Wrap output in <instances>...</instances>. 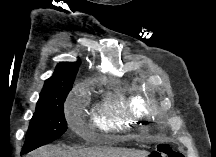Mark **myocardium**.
Listing matches in <instances>:
<instances>
[{
	"mask_svg": "<svg viewBox=\"0 0 216 157\" xmlns=\"http://www.w3.org/2000/svg\"><path fill=\"white\" fill-rule=\"evenodd\" d=\"M147 108L150 106L152 109L154 108V105L151 103L150 105L146 104L145 105Z\"/></svg>",
	"mask_w": 216,
	"mask_h": 157,
	"instance_id": "myocardium-1",
	"label": "myocardium"
}]
</instances>
